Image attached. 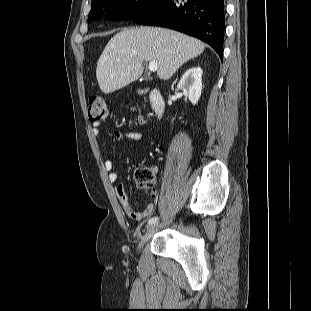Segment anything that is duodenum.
I'll use <instances>...</instances> for the list:
<instances>
[{
	"mask_svg": "<svg viewBox=\"0 0 311 311\" xmlns=\"http://www.w3.org/2000/svg\"><path fill=\"white\" fill-rule=\"evenodd\" d=\"M141 93H146L149 96L152 110L157 118H160L165 109V103L161 91L158 88H150Z\"/></svg>",
	"mask_w": 311,
	"mask_h": 311,
	"instance_id": "duodenum-1",
	"label": "duodenum"
}]
</instances>
